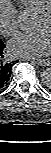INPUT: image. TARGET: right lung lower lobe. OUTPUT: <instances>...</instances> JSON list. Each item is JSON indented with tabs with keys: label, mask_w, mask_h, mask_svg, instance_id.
Here are the masks:
<instances>
[{
	"label": "right lung lower lobe",
	"mask_w": 51,
	"mask_h": 153,
	"mask_svg": "<svg viewBox=\"0 0 51 153\" xmlns=\"http://www.w3.org/2000/svg\"><path fill=\"white\" fill-rule=\"evenodd\" d=\"M4 47H5V45L1 41V43H0V88H2L9 81V79L11 77L12 66L15 64V63H6L3 60Z\"/></svg>",
	"instance_id": "obj_1"
}]
</instances>
